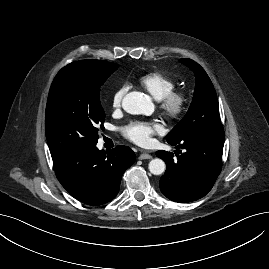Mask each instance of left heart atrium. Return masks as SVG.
I'll return each mask as SVG.
<instances>
[{
    "label": "left heart atrium",
    "mask_w": 269,
    "mask_h": 269,
    "mask_svg": "<svg viewBox=\"0 0 269 269\" xmlns=\"http://www.w3.org/2000/svg\"><path fill=\"white\" fill-rule=\"evenodd\" d=\"M160 130L161 127L159 124L146 121H134L127 124L122 129L126 138L140 145L147 144L151 136Z\"/></svg>",
    "instance_id": "39dd6f15"
}]
</instances>
